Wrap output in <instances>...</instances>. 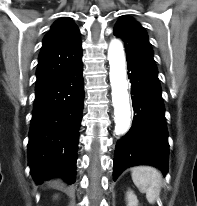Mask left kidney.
Listing matches in <instances>:
<instances>
[{
	"label": "left kidney",
	"instance_id": "obj_1",
	"mask_svg": "<svg viewBox=\"0 0 197 206\" xmlns=\"http://www.w3.org/2000/svg\"><path fill=\"white\" fill-rule=\"evenodd\" d=\"M127 201L128 205L127 206H138V200L136 195L133 193V191H128L127 192Z\"/></svg>",
	"mask_w": 197,
	"mask_h": 206
}]
</instances>
